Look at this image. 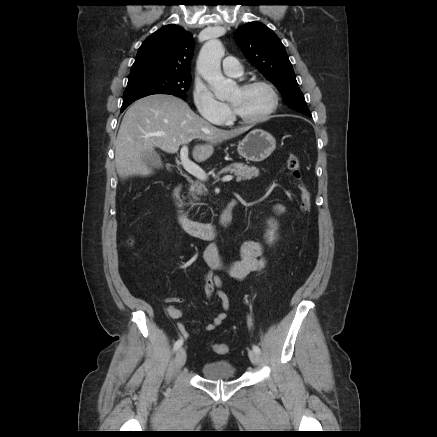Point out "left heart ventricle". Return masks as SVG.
Instances as JSON below:
<instances>
[{
  "instance_id": "b2bd125f",
  "label": "left heart ventricle",
  "mask_w": 437,
  "mask_h": 437,
  "mask_svg": "<svg viewBox=\"0 0 437 437\" xmlns=\"http://www.w3.org/2000/svg\"><path fill=\"white\" fill-rule=\"evenodd\" d=\"M228 101L239 115L251 118L262 114L269 107L271 96L263 87H238L230 94Z\"/></svg>"
}]
</instances>
